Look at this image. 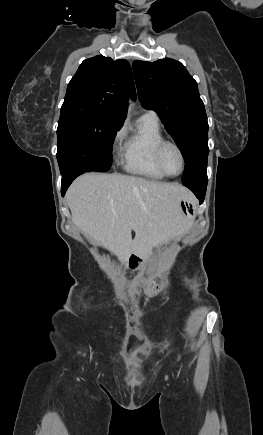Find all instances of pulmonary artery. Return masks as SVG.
<instances>
[{
    "label": "pulmonary artery",
    "mask_w": 263,
    "mask_h": 435,
    "mask_svg": "<svg viewBox=\"0 0 263 435\" xmlns=\"http://www.w3.org/2000/svg\"><path fill=\"white\" fill-rule=\"evenodd\" d=\"M144 115L157 119V115L154 111H147Z\"/></svg>",
    "instance_id": "1"
}]
</instances>
